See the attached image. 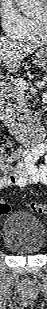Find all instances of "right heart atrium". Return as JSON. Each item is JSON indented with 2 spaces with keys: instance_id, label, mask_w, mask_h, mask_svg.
<instances>
[{
  "instance_id": "obj_1",
  "label": "right heart atrium",
  "mask_w": 47,
  "mask_h": 309,
  "mask_svg": "<svg viewBox=\"0 0 47 309\" xmlns=\"http://www.w3.org/2000/svg\"><path fill=\"white\" fill-rule=\"evenodd\" d=\"M0 22L5 34L11 39L21 40L26 33V17L13 0H0Z\"/></svg>"
}]
</instances>
